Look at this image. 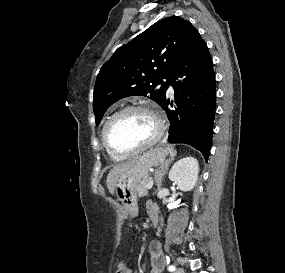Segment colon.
I'll return each mask as SVG.
<instances>
[{
  "mask_svg": "<svg viewBox=\"0 0 285 273\" xmlns=\"http://www.w3.org/2000/svg\"><path fill=\"white\" fill-rule=\"evenodd\" d=\"M115 273H127V268L124 264L120 263L117 266L116 272Z\"/></svg>",
  "mask_w": 285,
  "mask_h": 273,
  "instance_id": "colon-1",
  "label": "colon"
}]
</instances>
